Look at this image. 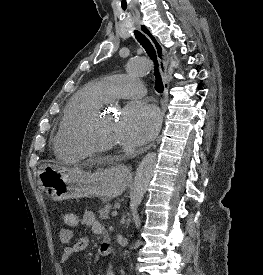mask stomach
Returning <instances> with one entry per match:
<instances>
[{
	"instance_id": "0dacf381",
	"label": "stomach",
	"mask_w": 263,
	"mask_h": 275,
	"mask_svg": "<svg viewBox=\"0 0 263 275\" xmlns=\"http://www.w3.org/2000/svg\"><path fill=\"white\" fill-rule=\"evenodd\" d=\"M38 178L46 195L55 201L88 196L110 199L122 194L127 186L124 169L114 165L92 173L79 167L46 164Z\"/></svg>"
}]
</instances>
